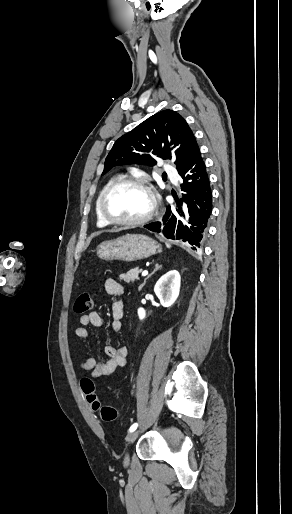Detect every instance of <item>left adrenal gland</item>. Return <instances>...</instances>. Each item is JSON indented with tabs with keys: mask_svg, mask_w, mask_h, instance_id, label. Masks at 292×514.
<instances>
[{
	"mask_svg": "<svg viewBox=\"0 0 292 514\" xmlns=\"http://www.w3.org/2000/svg\"><path fill=\"white\" fill-rule=\"evenodd\" d=\"M160 268H162V266H159V264H155V270H153L152 274H149V276H147V278H145L143 284H141V286H139V290H141V288H143V286H145L146 280H148V278H151V276H153V274H155V272H157V270H160Z\"/></svg>",
	"mask_w": 292,
	"mask_h": 514,
	"instance_id": "a2214340",
	"label": "left adrenal gland"
}]
</instances>
